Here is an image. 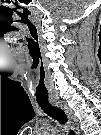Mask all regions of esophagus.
<instances>
[{
	"label": "esophagus",
	"mask_w": 101,
	"mask_h": 135,
	"mask_svg": "<svg viewBox=\"0 0 101 135\" xmlns=\"http://www.w3.org/2000/svg\"><path fill=\"white\" fill-rule=\"evenodd\" d=\"M53 105L55 107L61 108L65 112L69 120V124L71 125L73 130H75L76 133L78 134L79 133L78 119L75 116L74 112L68 107V105L64 101H55L53 102Z\"/></svg>",
	"instance_id": "1"
}]
</instances>
